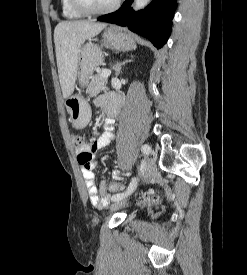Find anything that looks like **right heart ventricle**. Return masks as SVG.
Instances as JSON below:
<instances>
[{"mask_svg":"<svg viewBox=\"0 0 247 275\" xmlns=\"http://www.w3.org/2000/svg\"><path fill=\"white\" fill-rule=\"evenodd\" d=\"M62 14L69 19L81 18L82 14L73 9L69 0H61Z\"/></svg>","mask_w":247,"mask_h":275,"instance_id":"obj_1","label":"right heart ventricle"}]
</instances>
